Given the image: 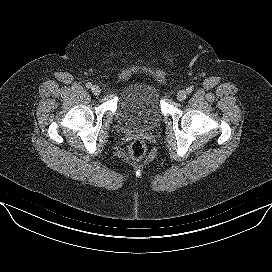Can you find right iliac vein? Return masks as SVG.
I'll use <instances>...</instances> for the list:
<instances>
[{
	"instance_id": "63e3f726",
	"label": "right iliac vein",
	"mask_w": 272,
	"mask_h": 272,
	"mask_svg": "<svg viewBox=\"0 0 272 272\" xmlns=\"http://www.w3.org/2000/svg\"><path fill=\"white\" fill-rule=\"evenodd\" d=\"M91 90L94 95H100L101 93V88L98 85H94Z\"/></svg>"
}]
</instances>
